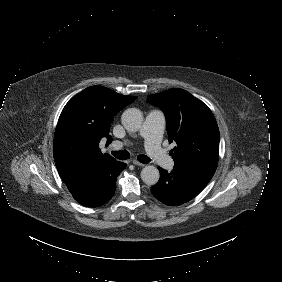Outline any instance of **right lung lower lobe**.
Segmentation results:
<instances>
[{"mask_svg": "<svg viewBox=\"0 0 282 282\" xmlns=\"http://www.w3.org/2000/svg\"><path fill=\"white\" fill-rule=\"evenodd\" d=\"M126 167L119 161H106L82 173L66 183L73 197L87 207H98L107 203L116 190L117 176Z\"/></svg>", "mask_w": 282, "mask_h": 282, "instance_id": "obj_1", "label": "right lung lower lobe"}]
</instances>
